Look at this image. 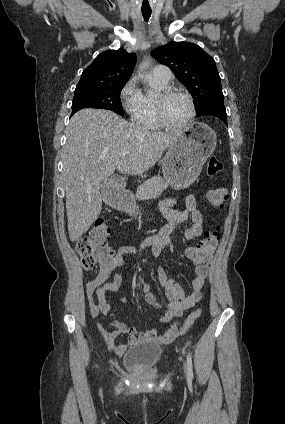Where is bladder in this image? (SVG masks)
<instances>
[{"instance_id": "31cf9c89", "label": "bladder", "mask_w": 285, "mask_h": 424, "mask_svg": "<svg viewBox=\"0 0 285 424\" xmlns=\"http://www.w3.org/2000/svg\"><path fill=\"white\" fill-rule=\"evenodd\" d=\"M165 355V348L155 343H139L127 349L122 358L124 366L132 372L153 369Z\"/></svg>"}]
</instances>
